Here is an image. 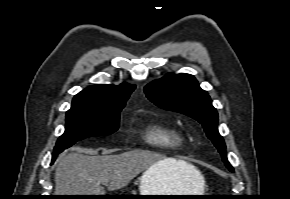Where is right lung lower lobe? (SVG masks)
Here are the masks:
<instances>
[{
	"instance_id": "98d812e1",
	"label": "right lung lower lobe",
	"mask_w": 290,
	"mask_h": 199,
	"mask_svg": "<svg viewBox=\"0 0 290 199\" xmlns=\"http://www.w3.org/2000/svg\"><path fill=\"white\" fill-rule=\"evenodd\" d=\"M55 159H56V157L55 158H52V163L54 162Z\"/></svg>"
}]
</instances>
